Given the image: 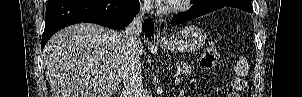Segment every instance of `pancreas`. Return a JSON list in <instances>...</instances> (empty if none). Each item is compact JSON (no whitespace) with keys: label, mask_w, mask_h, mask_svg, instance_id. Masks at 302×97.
I'll list each match as a JSON object with an SVG mask.
<instances>
[{"label":"pancreas","mask_w":302,"mask_h":97,"mask_svg":"<svg viewBox=\"0 0 302 97\" xmlns=\"http://www.w3.org/2000/svg\"><path fill=\"white\" fill-rule=\"evenodd\" d=\"M177 69H178L179 74L188 76L191 74L192 66L189 65L188 63L181 62V63L177 64Z\"/></svg>","instance_id":"1"}]
</instances>
